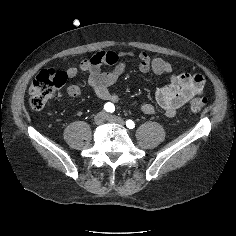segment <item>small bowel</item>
<instances>
[{"mask_svg": "<svg viewBox=\"0 0 236 236\" xmlns=\"http://www.w3.org/2000/svg\"><path fill=\"white\" fill-rule=\"evenodd\" d=\"M135 58L138 59V67L142 73L153 72L156 75L169 76L170 82L156 93V102L168 117H173L177 109L204 90L205 78L202 74L173 73L169 62L160 57L151 58L146 52L136 55L133 52L102 51L82 60L78 67L68 68L65 73L68 78H74L79 71L87 73V84L95 95L110 103H117L120 97L111 92L110 87L124 74L127 63ZM104 64L113 65V70L102 72L101 67ZM65 92L68 96L78 97L82 94V88L70 85ZM140 109L147 115H154L158 111L151 103L141 104Z\"/></svg>", "mask_w": 236, "mask_h": 236, "instance_id": "small-bowel-1", "label": "small bowel"}]
</instances>
